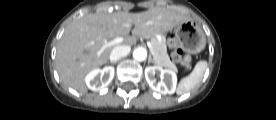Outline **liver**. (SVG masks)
<instances>
[{
  "label": "liver",
  "mask_w": 276,
  "mask_h": 120,
  "mask_svg": "<svg viewBox=\"0 0 276 120\" xmlns=\"http://www.w3.org/2000/svg\"><path fill=\"white\" fill-rule=\"evenodd\" d=\"M190 18L175 8L155 7L140 13H91L73 21L58 44L56 68L61 81L80 93H86L84 78L91 70L108 62L112 47L99 56L102 44L118 36H128L132 25L133 37H126L123 45H133L137 37L150 38L172 30Z\"/></svg>",
  "instance_id": "6515ba94"
}]
</instances>
